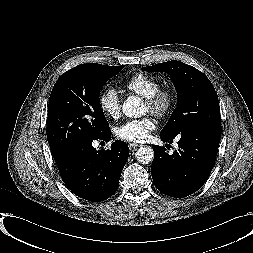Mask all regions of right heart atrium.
<instances>
[{"mask_svg":"<svg viewBox=\"0 0 253 253\" xmlns=\"http://www.w3.org/2000/svg\"><path fill=\"white\" fill-rule=\"evenodd\" d=\"M100 109L109 117L117 118L121 112V99L113 88L104 90L99 96Z\"/></svg>","mask_w":253,"mask_h":253,"instance_id":"right-heart-atrium-1","label":"right heart atrium"}]
</instances>
